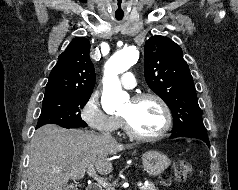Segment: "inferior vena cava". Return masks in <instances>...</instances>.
Masks as SVG:
<instances>
[{
  "instance_id": "obj_1",
  "label": "inferior vena cava",
  "mask_w": 238,
  "mask_h": 190,
  "mask_svg": "<svg viewBox=\"0 0 238 190\" xmlns=\"http://www.w3.org/2000/svg\"><path fill=\"white\" fill-rule=\"evenodd\" d=\"M103 137L106 139H112V136L109 133H104Z\"/></svg>"
}]
</instances>
